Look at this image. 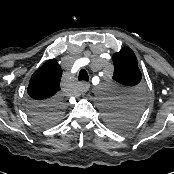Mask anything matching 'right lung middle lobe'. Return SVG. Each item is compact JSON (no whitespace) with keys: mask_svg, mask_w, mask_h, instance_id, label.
Segmentation results:
<instances>
[{"mask_svg":"<svg viewBox=\"0 0 174 174\" xmlns=\"http://www.w3.org/2000/svg\"><path fill=\"white\" fill-rule=\"evenodd\" d=\"M64 102L60 97L47 102H31L29 114L34 122L50 126L60 121L63 116Z\"/></svg>","mask_w":174,"mask_h":174,"instance_id":"obj_1","label":"right lung middle lobe"}]
</instances>
